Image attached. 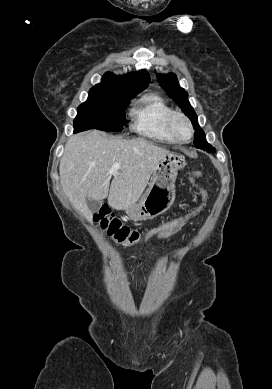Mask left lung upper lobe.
Returning a JSON list of instances; mask_svg holds the SVG:
<instances>
[{"mask_svg": "<svg viewBox=\"0 0 272 389\" xmlns=\"http://www.w3.org/2000/svg\"><path fill=\"white\" fill-rule=\"evenodd\" d=\"M157 78L161 87L179 105L185 115L192 121L195 129L194 145L196 148L207 152H214L215 149L207 143L203 130L198 125L197 115L189 103L188 93L179 86L176 75L173 73L158 74Z\"/></svg>", "mask_w": 272, "mask_h": 389, "instance_id": "5c2ea615", "label": "left lung upper lobe"}]
</instances>
